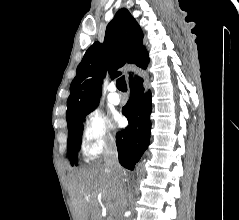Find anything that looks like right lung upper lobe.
Masks as SVG:
<instances>
[{
	"mask_svg": "<svg viewBox=\"0 0 239 220\" xmlns=\"http://www.w3.org/2000/svg\"><path fill=\"white\" fill-rule=\"evenodd\" d=\"M142 41L143 32L136 20L127 9H120L107 25L103 44L91 45L77 67L67 100L68 126L97 107L106 69L114 78L126 63L147 67L149 57Z\"/></svg>",
	"mask_w": 239,
	"mask_h": 220,
	"instance_id": "right-lung-upper-lobe-1",
	"label": "right lung upper lobe"
}]
</instances>
